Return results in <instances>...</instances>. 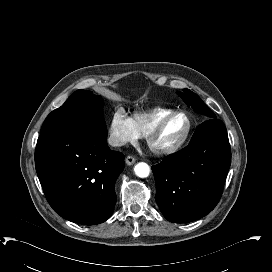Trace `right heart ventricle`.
<instances>
[{
  "label": "right heart ventricle",
  "instance_id": "1",
  "mask_svg": "<svg viewBox=\"0 0 272 272\" xmlns=\"http://www.w3.org/2000/svg\"><path fill=\"white\" fill-rule=\"evenodd\" d=\"M173 112L172 109L159 108L150 113H136L133 115L135 124L139 127L144 135L152 128L162 117Z\"/></svg>",
  "mask_w": 272,
  "mask_h": 272
}]
</instances>
